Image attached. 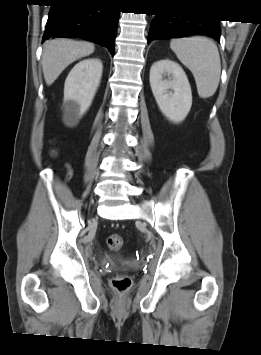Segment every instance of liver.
Masks as SVG:
<instances>
[{"label":"liver","mask_w":261,"mask_h":355,"mask_svg":"<svg viewBox=\"0 0 261 355\" xmlns=\"http://www.w3.org/2000/svg\"><path fill=\"white\" fill-rule=\"evenodd\" d=\"M94 45L84 41L55 39L43 46L42 69L47 85H51L72 62L94 52Z\"/></svg>","instance_id":"liver-1"}]
</instances>
